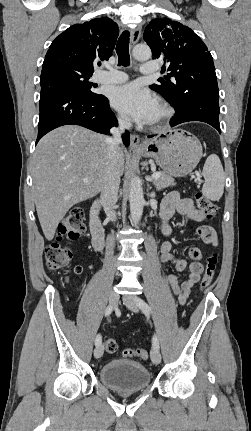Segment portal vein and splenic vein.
Listing matches in <instances>:
<instances>
[{
	"mask_svg": "<svg viewBox=\"0 0 251 431\" xmlns=\"http://www.w3.org/2000/svg\"><path fill=\"white\" fill-rule=\"evenodd\" d=\"M159 176H160L159 173H153L152 176H151V179L152 180L157 179V178H159ZM83 182L87 183L88 179L87 178L83 179Z\"/></svg>",
	"mask_w": 251,
	"mask_h": 431,
	"instance_id": "1",
	"label": "portal vein and splenic vein"
}]
</instances>
